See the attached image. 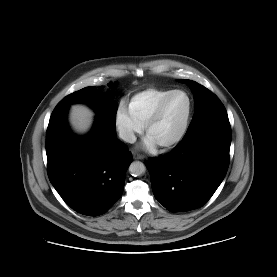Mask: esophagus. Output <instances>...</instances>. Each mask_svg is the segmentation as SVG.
Returning a JSON list of instances; mask_svg holds the SVG:
<instances>
[{
  "instance_id": "1",
  "label": "esophagus",
  "mask_w": 277,
  "mask_h": 277,
  "mask_svg": "<svg viewBox=\"0 0 277 277\" xmlns=\"http://www.w3.org/2000/svg\"><path fill=\"white\" fill-rule=\"evenodd\" d=\"M133 158L134 159H139V160H143L144 158H145V156L144 155H141V154H133Z\"/></svg>"
}]
</instances>
